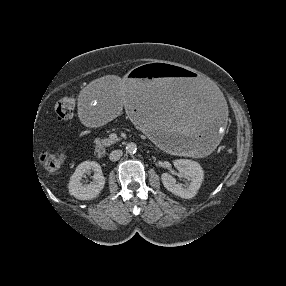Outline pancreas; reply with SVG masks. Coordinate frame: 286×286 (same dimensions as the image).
<instances>
[{"label": "pancreas", "mask_w": 286, "mask_h": 286, "mask_svg": "<svg viewBox=\"0 0 286 286\" xmlns=\"http://www.w3.org/2000/svg\"><path fill=\"white\" fill-rule=\"evenodd\" d=\"M119 139L118 138H106V139H95V143L97 145V147H101V146H110L111 144H114L115 142H117Z\"/></svg>", "instance_id": "obj_1"}]
</instances>
